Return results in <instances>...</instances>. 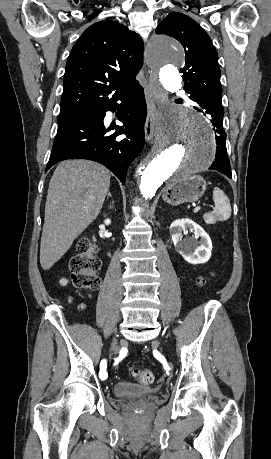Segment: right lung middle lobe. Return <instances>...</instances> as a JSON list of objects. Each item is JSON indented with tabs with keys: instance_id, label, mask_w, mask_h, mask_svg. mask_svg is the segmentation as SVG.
I'll list each match as a JSON object with an SVG mask.
<instances>
[{
	"instance_id": "dd1d6c3e",
	"label": "right lung middle lobe",
	"mask_w": 271,
	"mask_h": 459,
	"mask_svg": "<svg viewBox=\"0 0 271 459\" xmlns=\"http://www.w3.org/2000/svg\"><path fill=\"white\" fill-rule=\"evenodd\" d=\"M99 108L100 106H87L75 111L60 112L58 124L82 116L96 115Z\"/></svg>"
}]
</instances>
